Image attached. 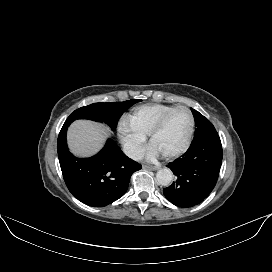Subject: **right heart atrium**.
<instances>
[{
  "label": "right heart atrium",
  "instance_id": "d8ad5b80",
  "mask_svg": "<svg viewBox=\"0 0 272 272\" xmlns=\"http://www.w3.org/2000/svg\"><path fill=\"white\" fill-rule=\"evenodd\" d=\"M118 132L127 154L132 158L139 157L144 148L146 136L131 129L125 122L120 123Z\"/></svg>",
  "mask_w": 272,
  "mask_h": 272
}]
</instances>
